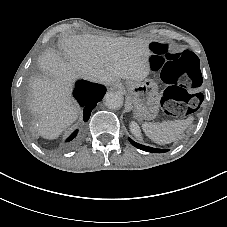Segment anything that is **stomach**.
Returning a JSON list of instances; mask_svg holds the SVG:
<instances>
[{"mask_svg":"<svg viewBox=\"0 0 227 227\" xmlns=\"http://www.w3.org/2000/svg\"><path fill=\"white\" fill-rule=\"evenodd\" d=\"M128 91L136 117L147 120L156 117L160 107V96L157 85L152 79L130 82Z\"/></svg>","mask_w":227,"mask_h":227,"instance_id":"1","label":"stomach"}]
</instances>
